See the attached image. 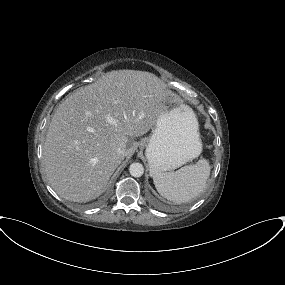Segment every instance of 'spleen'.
Segmentation results:
<instances>
[{"mask_svg": "<svg viewBox=\"0 0 285 285\" xmlns=\"http://www.w3.org/2000/svg\"><path fill=\"white\" fill-rule=\"evenodd\" d=\"M210 176V165L206 159L187 165L175 172L153 175L157 191L164 198L180 204L199 196L205 189Z\"/></svg>", "mask_w": 285, "mask_h": 285, "instance_id": "obj_1", "label": "spleen"}]
</instances>
